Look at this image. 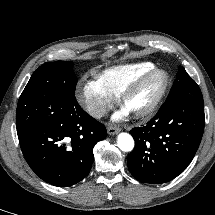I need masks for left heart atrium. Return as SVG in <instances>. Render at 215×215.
<instances>
[{
	"label": "left heart atrium",
	"instance_id": "left-heart-atrium-1",
	"mask_svg": "<svg viewBox=\"0 0 215 215\" xmlns=\"http://www.w3.org/2000/svg\"><path fill=\"white\" fill-rule=\"evenodd\" d=\"M126 114H127V111L126 110H122V111L116 112L113 117H114V119H121Z\"/></svg>",
	"mask_w": 215,
	"mask_h": 215
}]
</instances>
